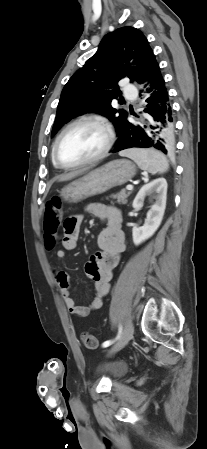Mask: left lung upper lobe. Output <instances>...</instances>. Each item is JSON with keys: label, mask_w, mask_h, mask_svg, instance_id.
I'll list each match as a JSON object with an SVG mask.
<instances>
[{"label": "left lung upper lobe", "mask_w": 207, "mask_h": 449, "mask_svg": "<svg viewBox=\"0 0 207 449\" xmlns=\"http://www.w3.org/2000/svg\"><path fill=\"white\" fill-rule=\"evenodd\" d=\"M132 59L136 69L130 66ZM155 61L148 40L139 29L127 26L105 35L97 52L64 86L51 136L71 118L89 111L108 117L118 135L127 112L111 106V101L121 94L117 83L126 76L131 82H143Z\"/></svg>", "instance_id": "1"}]
</instances>
